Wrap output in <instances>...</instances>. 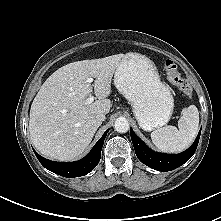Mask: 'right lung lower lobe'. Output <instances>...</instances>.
I'll return each instance as SVG.
<instances>
[{"instance_id": "98d812e1", "label": "right lung lower lobe", "mask_w": 221, "mask_h": 221, "mask_svg": "<svg viewBox=\"0 0 221 221\" xmlns=\"http://www.w3.org/2000/svg\"><path fill=\"white\" fill-rule=\"evenodd\" d=\"M108 130L105 131L103 136L94 145L87 156L81 160L74 162H54L40 156L37 152L34 153L40 163L48 170L63 177L73 178L84 176L96 167L101 158V150L103 147L104 139Z\"/></svg>"}]
</instances>
